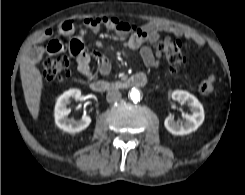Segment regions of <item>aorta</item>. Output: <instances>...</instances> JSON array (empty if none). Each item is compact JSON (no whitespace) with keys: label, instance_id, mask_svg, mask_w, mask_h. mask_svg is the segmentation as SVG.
Listing matches in <instances>:
<instances>
[{"label":"aorta","instance_id":"762f6f07","mask_svg":"<svg viewBox=\"0 0 245 195\" xmlns=\"http://www.w3.org/2000/svg\"><path fill=\"white\" fill-rule=\"evenodd\" d=\"M130 99L137 103L140 101V92L137 89H132L129 93Z\"/></svg>","mask_w":245,"mask_h":195}]
</instances>
